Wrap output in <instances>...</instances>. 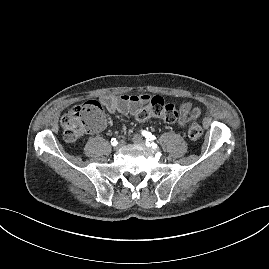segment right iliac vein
I'll return each mask as SVG.
<instances>
[{
  "instance_id": "right-iliac-vein-1",
  "label": "right iliac vein",
  "mask_w": 269,
  "mask_h": 269,
  "mask_svg": "<svg viewBox=\"0 0 269 269\" xmlns=\"http://www.w3.org/2000/svg\"><path fill=\"white\" fill-rule=\"evenodd\" d=\"M126 145V142L124 141V140H121L118 144H115L114 146H113V150L115 151V152H118L119 150H120V146L121 147H124Z\"/></svg>"
}]
</instances>
